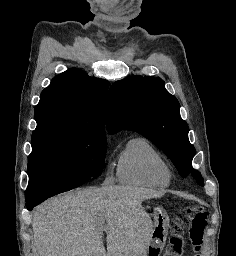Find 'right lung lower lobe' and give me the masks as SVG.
<instances>
[{"label":"right lung lower lobe","mask_w":236,"mask_h":256,"mask_svg":"<svg viewBox=\"0 0 236 256\" xmlns=\"http://www.w3.org/2000/svg\"><path fill=\"white\" fill-rule=\"evenodd\" d=\"M84 183L85 182H80V183L74 184L72 186H68V187H65V188H62V189H57V190L50 191V192H47L45 194L33 197V198H29V199L26 200V207H27L28 210H32L33 207H35L36 205L40 204L41 202H43L47 198H49V197H51L53 195L65 192V191H69V190H71L73 188L81 186Z\"/></svg>","instance_id":"98d812e1"}]
</instances>
